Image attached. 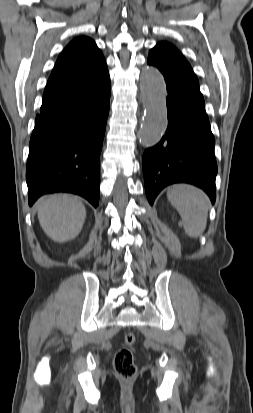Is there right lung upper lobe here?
<instances>
[{
  "mask_svg": "<svg viewBox=\"0 0 253 413\" xmlns=\"http://www.w3.org/2000/svg\"><path fill=\"white\" fill-rule=\"evenodd\" d=\"M108 75L106 61L95 42L88 37L75 38L56 61L39 115L96 92Z\"/></svg>",
  "mask_w": 253,
  "mask_h": 413,
  "instance_id": "cb5924a9",
  "label": "right lung upper lobe"
}]
</instances>
